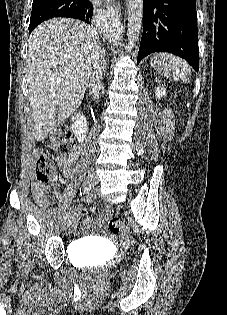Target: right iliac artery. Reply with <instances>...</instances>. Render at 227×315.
<instances>
[{
	"mask_svg": "<svg viewBox=\"0 0 227 315\" xmlns=\"http://www.w3.org/2000/svg\"><path fill=\"white\" fill-rule=\"evenodd\" d=\"M90 190H91V186L86 184L83 186L81 194H87V193H89ZM69 216H70V212L65 213L64 218L67 219V218H69Z\"/></svg>",
	"mask_w": 227,
	"mask_h": 315,
	"instance_id": "obj_1",
	"label": "right iliac artery"
}]
</instances>
